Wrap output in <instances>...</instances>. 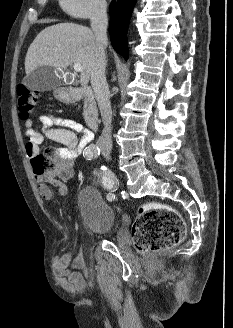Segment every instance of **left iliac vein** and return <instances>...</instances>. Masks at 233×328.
Instances as JSON below:
<instances>
[{"label":"left iliac vein","mask_w":233,"mask_h":328,"mask_svg":"<svg viewBox=\"0 0 233 328\" xmlns=\"http://www.w3.org/2000/svg\"><path fill=\"white\" fill-rule=\"evenodd\" d=\"M105 156V158L107 159V160H109L110 159V157L109 156H107V155H104Z\"/></svg>","instance_id":"1"}]
</instances>
